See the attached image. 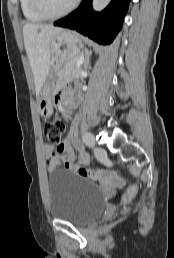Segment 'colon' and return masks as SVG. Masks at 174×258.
I'll list each match as a JSON object with an SVG mask.
<instances>
[{
	"mask_svg": "<svg viewBox=\"0 0 174 258\" xmlns=\"http://www.w3.org/2000/svg\"><path fill=\"white\" fill-rule=\"evenodd\" d=\"M64 121L61 117H55L44 123L43 131L46 139L50 144H57L64 132ZM138 193V185H131L122 195V201L130 202Z\"/></svg>",
	"mask_w": 174,
	"mask_h": 258,
	"instance_id": "obj_1",
	"label": "colon"
}]
</instances>
